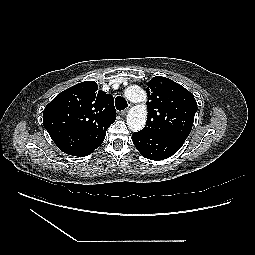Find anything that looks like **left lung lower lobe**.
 Masks as SVG:
<instances>
[{"label":"left lung lower lobe","instance_id":"left-lung-lower-lobe-1","mask_svg":"<svg viewBox=\"0 0 255 255\" xmlns=\"http://www.w3.org/2000/svg\"><path fill=\"white\" fill-rule=\"evenodd\" d=\"M187 137L168 134L133 133L132 140L137 150L147 159L164 160L174 155Z\"/></svg>","mask_w":255,"mask_h":255}]
</instances>
